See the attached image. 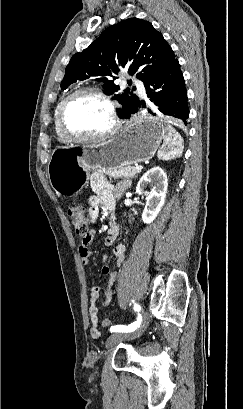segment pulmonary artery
I'll return each mask as SVG.
<instances>
[{
	"label": "pulmonary artery",
	"instance_id": "1",
	"mask_svg": "<svg viewBox=\"0 0 243 409\" xmlns=\"http://www.w3.org/2000/svg\"><path fill=\"white\" fill-rule=\"evenodd\" d=\"M134 84L137 86V90L140 96H145V88L140 81L134 80Z\"/></svg>",
	"mask_w": 243,
	"mask_h": 409
}]
</instances>
